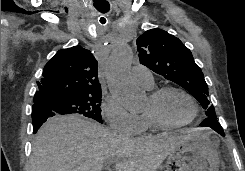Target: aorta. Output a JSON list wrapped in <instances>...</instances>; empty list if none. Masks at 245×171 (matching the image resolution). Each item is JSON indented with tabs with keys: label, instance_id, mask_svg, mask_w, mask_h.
<instances>
[{
	"label": "aorta",
	"instance_id": "1",
	"mask_svg": "<svg viewBox=\"0 0 245 171\" xmlns=\"http://www.w3.org/2000/svg\"><path fill=\"white\" fill-rule=\"evenodd\" d=\"M132 50L128 44L119 45L110 55L105 66V77L110 92L128 111L144 107L145 94L130 78Z\"/></svg>",
	"mask_w": 245,
	"mask_h": 171
}]
</instances>
